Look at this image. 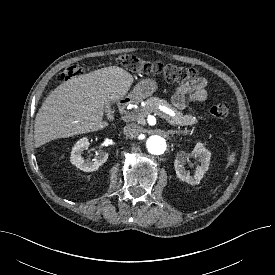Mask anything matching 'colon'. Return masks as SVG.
<instances>
[{"instance_id": "obj_1", "label": "colon", "mask_w": 275, "mask_h": 275, "mask_svg": "<svg viewBox=\"0 0 275 275\" xmlns=\"http://www.w3.org/2000/svg\"><path fill=\"white\" fill-rule=\"evenodd\" d=\"M118 62L126 69L141 75H161L170 83H187L193 81L198 76V71L192 67L178 66L174 64H164L160 62H147L141 58L124 54L117 58ZM83 73V68L79 65L67 67L59 76L61 81H68ZM210 113L217 119H226L230 114L229 105L219 102L211 106Z\"/></svg>"}]
</instances>
